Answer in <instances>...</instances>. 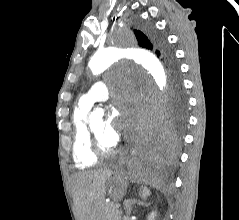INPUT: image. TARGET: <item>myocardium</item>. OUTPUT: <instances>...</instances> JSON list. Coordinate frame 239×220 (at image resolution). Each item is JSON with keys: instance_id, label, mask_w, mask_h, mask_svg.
Masks as SVG:
<instances>
[{"instance_id": "myocardium-1", "label": "myocardium", "mask_w": 239, "mask_h": 220, "mask_svg": "<svg viewBox=\"0 0 239 220\" xmlns=\"http://www.w3.org/2000/svg\"><path fill=\"white\" fill-rule=\"evenodd\" d=\"M88 132L91 149L97 157H107L113 155L116 152V147L114 145L112 147L106 148L101 144L99 138L93 131L91 124L88 125Z\"/></svg>"}]
</instances>
